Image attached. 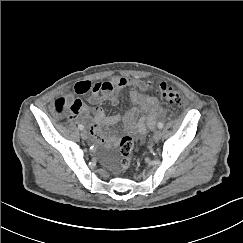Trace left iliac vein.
I'll return each instance as SVG.
<instances>
[{"label":"left iliac vein","mask_w":243,"mask_h":243,"mask_svg":"<svg viewBox=\"0 0 243 243\" xmlns=\"http://www.w3.org/2000/svg\"><path fill=\"white\" fill-rule=\"evenodd\" d=\"M160 138H161V131L160 130L155 131L153 135V141L157 142L160 140Z\"/></svg>","instance_id":"obj_1"}]
</instances>
